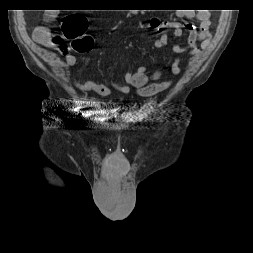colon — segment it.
I'll return each instance as SVG.
<instances>
[{"label": "colon", "mask_w": 253, "mask_h": 253, "mask_svg": "<svg viewBox=\"0 0 253 253\" xmlns=\"http://www.w3.org/2000/svg\"><path fill=\"white\" fill-rule=\"evenodd\" d=\"M88 21L83 15H69L63 19L61 34L54 37L52 42L58 44L62 40L70 43L63 45L61 51L67 55L70 51L79 53L89 51L93 46L92 37L87 34Z\"/></svg>", "instance_id": "1"}]
</instances>
